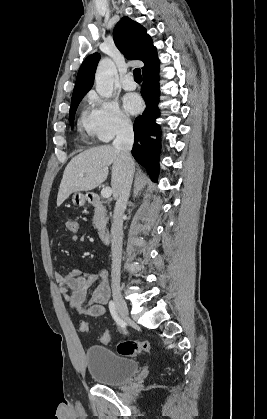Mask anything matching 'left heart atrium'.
<instances>
[{
  "mask_svg": "<svg viewBox=\"0 0 267 419\" xmlns=\"http://www.w3.org/2000/svg\"><path fill=\"white\" fill-rule=\"evenodd\" d=\"M125 110L130 114H137L142 109L141 98L134 93L126 94L123 98Z\"/></svg>",
  "mask_w": 267,
  "mask_h": 419,
  "instance_id": "39dd6f15",
  "label": "left heart atrium"
}]
</instances>
